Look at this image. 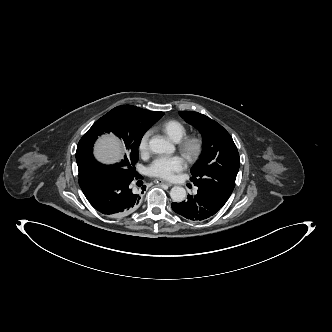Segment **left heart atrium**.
Returning <instances> with one entry per match:
<instances>
[{
  "label": "left heart atrium",
  "instance_id": "left-heart-atrium-1",
  "mask_svg": "<svg viewBox=\"0 0 332 332\" xmlns=\"http://www.w3.org/2000/svg\"><path fill=\"white\" fill-rule=\"evenodd\" d=\"M184 167L185 161L180 156H160L151 163L148 173L153 177L171 179Z\"/></svg>",
  "mask_w": 332,
  "mask_h": 332
}]
</instances>
